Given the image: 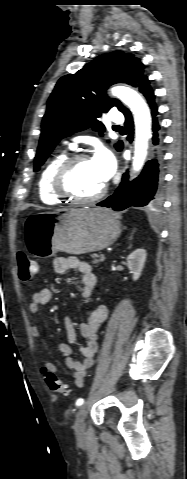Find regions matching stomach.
<instances>
[{
    "label": "stomach",
    "mask_w": 187,
    "mask_h": 479,
    "mask_svg": "<svg viewBox=\"0 0 187 479\" xmlns=\"http://www.w3.org/2000/svg\"><path fill=\"white\" fill-rule=\"evenodd\" d=\"M120 233V221L109 209L99 207L38 212L24 222L26 247L38 258H49L59 251H99L113 244Z\"/></svg>",
    "instance_id": "obj_1"
}]
</instances>
